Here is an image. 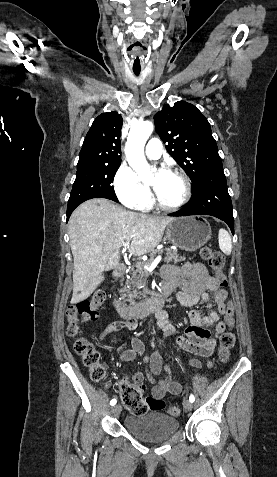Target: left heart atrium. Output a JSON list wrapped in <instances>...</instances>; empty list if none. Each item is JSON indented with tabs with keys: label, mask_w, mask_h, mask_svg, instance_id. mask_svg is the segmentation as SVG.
<instances>
[{
	"label": "left heart atrium",
	"mask_w": 277,
	"mask_h": 477,
	"mask_svg": "<svg viewBox=\"0 0 277 477\" xmlns=\"http://www.w3.org/2000/svg\"><path fill=\"white\" fill-rule=\"evenodd\" d=\"M168 173H169V172H168L167 170H164V169H162V170L159 171V175H160L161 177L165 176V175L168 174Z\"/></svg>",
	"instance_id": "39dd6f15"
}]
</instances>
